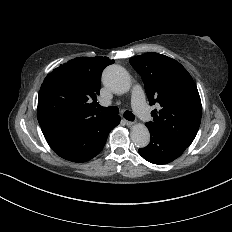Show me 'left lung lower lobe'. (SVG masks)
<instances>
[{
	"instance_id": "obj_1",
	"label": "left lung lower lobe",
	"mask_w": 232,
	"mask_h": 232,
	"mask_svg": "<svg viewBox=\"0 0 232 232\" xmlns=\"http://www.w3.org/2000/svg\"><path fill=\"white\" fill-rule=\"evenodd\" d=\"M150 131L148 146L139 149V154L153 164H167L178 158L187 148L182 143L156 131Z\"/></svg>"
}]
</instances>
